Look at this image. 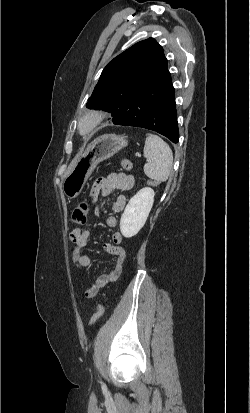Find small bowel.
<instances>
[{"label": "small bowel", "instance_id": "small-bowel-1", "mask_svg": "<svg viewBox=\"0 0 250 413\" xmlns=\"http://www.w3.org/2000/svg\"><path fill=\"white\" fill-rule=\"evenodd\" d=\"M133 185L134 177L124 173H113L106 177H100L94 182L90 194L87 195V202L91 203L94 200V197H99L100 194L106 197L115 190L128 191ZM125 204V196L119 195L113 200L112 209L115 212H121L124 209ZM95 215H100V208L95 209ZM106 225L110 228L116 227V217L109 216L106 219ZM90 234L91 232L88 228H78L70 233V239L74 243L72 260L74 266L78 270H82L91 264L90 257L81 253V250L85 249L88 245ZM122 241L123 236L121 232L115 231L112 234V242L105 244V250L114 256V260L111 263V268L107 272L101 274L96 281L86 289V298H94L101 289L107 284L116 281L121 275L123 263L126 258V250L122 245Z\"/></svg>", "mask_w": 250, "mask_h": 413}]
</instances>
